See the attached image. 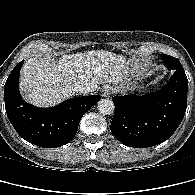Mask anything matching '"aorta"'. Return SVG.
Wrapping results in <instances>:
<instances>
[{
	"label": "aorta",
	"mask_w": 195,
	"mask_h": 195,
	"mask_svg": "<svg viewBox=\"0 0 195 195\" xmlns=\"http://www.w3.org/2000/svg\"><path fill=\"white\" fill-rule=\"evenodd\" d=\"M98 110L103 115H110L114 112L115 105L111 99H101L98 102Z\"/></svg>",
	"instance_id": "obj_1"
}]
</instances>
